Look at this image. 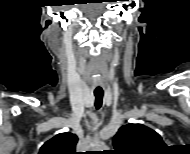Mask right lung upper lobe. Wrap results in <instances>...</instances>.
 I'll return each mask as SVG.
<instances>
[{
    "mask_svg": "<svg viewBox=\"0 0 190 154\" xmlns=\"http://www.w3.org/2000/svg\"><path fill=\"white\" fill-rule=\"evenodd\" d=\"M78 138L70 132L60 133L48 140L39 151V154H76L75 146Z\"/></svg>",
    "mask_w": 190,
    "mask_h": 154,
    "instance_id": "obj_1",
    "label": "right lung upper lobe"
}]
</instances>
